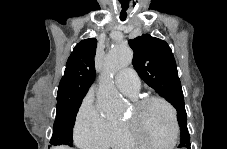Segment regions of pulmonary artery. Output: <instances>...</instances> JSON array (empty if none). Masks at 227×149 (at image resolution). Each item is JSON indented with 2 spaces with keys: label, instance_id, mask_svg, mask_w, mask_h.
Here are the masks:
<instances>
[{
  "label": "pulmonary artery",
  "instance_id": "pulmonary-artery-1",
  "mask_svg": "<svg viewBox=\"0 0 227 149\" xmlns=\"http://www.w3.org/2000/svg\"><path fill=\"white\" fill-rule=\"evenodd\" d=\"M117 88L127 96L135 98L140 90V79L132 68L120 70L115 76Z\"/></svg>",
  "mask_w": 227,
  "mask_h": 149
}]
</instances>
